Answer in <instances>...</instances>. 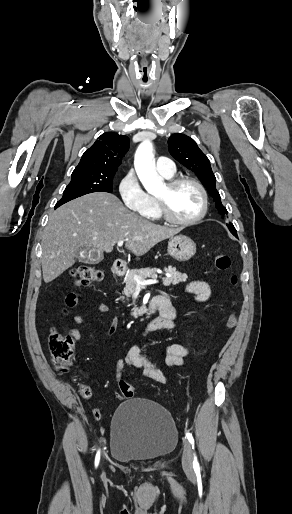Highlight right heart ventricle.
<instances>
[{
    "instance_id": "1",
    "label": "right heart ventricle",
    "mask_w": 292,
    "mask_h": 514,
    "mask_svg": "<svg viewBox=\"0 0 292 514\" xmlns=\"http://www.w3.org/2000/svg\"><path fill=\"white\" fill-rule=\"evenodd\" d=\"M172 178H166V179H172ZM141 212L146 214V215H148V216H150V217L156 218V219H160L162 217L160 212H159V210H158V208H157L154 196L149 195V194H148L147 205H146V207Z\"/></svg>"
}]
</instances>
